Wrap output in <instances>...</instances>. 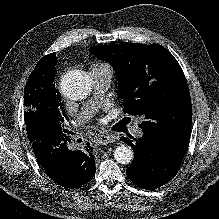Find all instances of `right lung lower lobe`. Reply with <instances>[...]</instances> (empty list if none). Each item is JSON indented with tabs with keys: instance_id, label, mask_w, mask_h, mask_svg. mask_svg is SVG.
Here are the masks:
<instances>
[{
	"instance_id": "98d812e1",
	"label": "right lung lower lobe",
	"mask_w": 219,
	"mask_h": 219,
	"mask_svg": "<svg viewBox=\"0 0 219 219\" xmlns=\"http://www.w3.org/2000/svg\"><path fill=\"white\" fill-rule=\"evenodd\" d=\"M27 134L37 161L49 177L65 188H77L95 175L92 147L71 151L70 138L54 123L40 121L27 126Z\"/></svg>"
}]
</instances>
